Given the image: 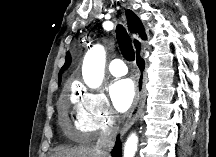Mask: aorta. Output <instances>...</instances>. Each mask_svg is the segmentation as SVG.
<instances>
[{"label":"aorta","mask_w":216,"mask_h":157,"mask_svg":"<svg viewBox=\"0 0 216 157\" xmlns=\"http://www.w3.org/2000/svg\"><path fill=\"white\" fill-rule=\"evenodd\" d=\"M106 51L102 45H94L85 56L82 75L85 84L90 88H98L104 78ZM138 137L132 134L126 141L124 157H134L137 150Z\"/></svg>","instance_id":"1"}]
</instances>
